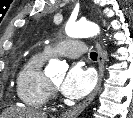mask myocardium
<instances>
[{
  "label": "myocardium",
  "instance_id": "myocardium-1",
  "mask_svg": "<svg viewBox=\"0 0 133 118\" xmlns=\"http://www.w3.org/2000/svg\"><path fill=\"white\" fill-rule=\"evenodd\" d=\"M49 83H50V90L51 92H55L56 91V88H57V85L53 83V81L49 80Z\"/></svg>",
  "mask_w": 133,
  "mask_h": 118
}]
</instances>
